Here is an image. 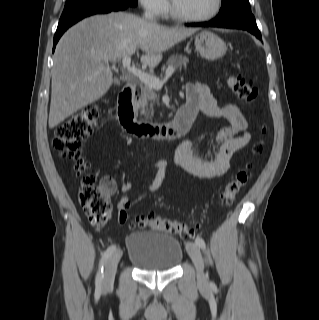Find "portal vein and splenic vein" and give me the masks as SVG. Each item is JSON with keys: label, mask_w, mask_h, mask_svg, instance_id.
I'll list each match as a JSON object with an SVG mask.
<instances>
[{"label": "portal vein and splenic vein", "mask_w": 319, "mask_h": 320, "mask_svg": "<svg viewBox=\"0 0 319 320\" xmlns=\"http://www.w3.org/2000/svg\"><path fill=\"white\" fill-rule=\"evenodd\" d=\"M123 67L132 75L137 77L142 83L145 85H148L154 89H161L163 84L171 77V75L174 73L175 68L174 67H168L166 70V74L164 79L160 80L157 77H154L148 73H145L138 69L135 66H131V58L130 56H125L122 60Z\"/></svg>", "instance_id": "obj_1"}]
</instances>
